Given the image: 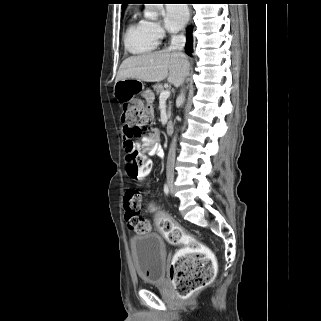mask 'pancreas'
<instances>
[{
  "label": "pancreas",
  "instance_id": "1",
  "mask_svg": "<svg viewBox=\"0 0 321 321\" xmlns=\"http://www.w3.org/2000/svg\"><path fill=\"white\" fill-rule=\"evenodd\" d=\"M154 90L156 91L157 95L161 94V92L164 91V87L162 84L158 83L153 86ZM168 115H171V102L169 101V107H168Z\"/></svg>",
  "mask_w": 321,
  "mask_h": 321
}]
</instances>
